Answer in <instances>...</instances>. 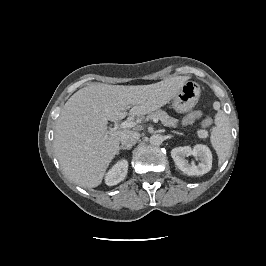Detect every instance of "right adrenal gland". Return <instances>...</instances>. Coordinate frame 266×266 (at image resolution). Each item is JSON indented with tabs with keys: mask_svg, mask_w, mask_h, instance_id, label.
Listing matches in <instances>:
<instances>
[{
	"mask_svg": "<svg viewBox=\"0 0 266 266\" xmlns=\"http://www.w3.org/2000/svg\"><path fill=\"white\" fill-rule=\"evenodd\" d=\"M121 150H129V148H126L124 146H120L118 151H117V155L120 153Z\"/></svg>",
	"mask_w": 266,
	"mask_h": 266,
	"instance_id": "right-adrenal-gland-1",
	"label": "right adrenal gland"
}]
</instances>
